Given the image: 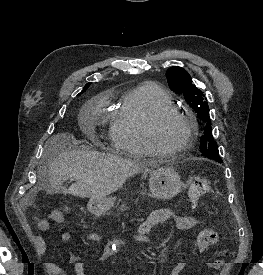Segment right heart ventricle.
Masks as SVG:
<instances>
[{"mask_svg": "<svg viewBox=\"0 0 263 275\" xmlns=\"http://www.w3.org/2000/svg\"><path fill=\"white\" fill-rule=\"evenodd\" d=\"M165 107H173V102L154 83H143L125 92L111 115L110 136L115 149L134 157L152 156L144 135L145 123L154 112Z\"/></svg>", "mask_w": 263, "mask_h": 275, "instance_id": "1", "label": "right heart ventricle"}]
</instances>
